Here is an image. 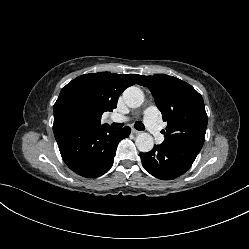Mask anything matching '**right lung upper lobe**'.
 <instances>
[{
	"mask_svg": "<svg viewBox=\"0 0 249 249\" xmlns=\"http://www.w3.org/2000/svg\"><path fill=\"white\" fill-rule=\"evenodd\" d=\"M144 76L110 72L81 75L69 82L60 92L54 104L53 129L73 126L84 129L109 127L101 125V116L116 108L118 97L129 86L141 83ZM74 109L76 118L69 121L66 112Z\"/></svg>",
	"mask_w": 249,
	"mask_h": 249,
	"instance_id": "1",
	"label": "right lung upper lobe"
}]
</instances>
